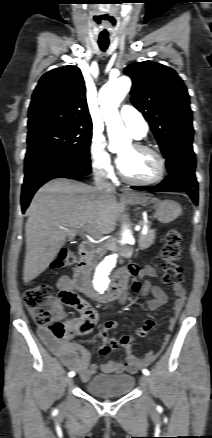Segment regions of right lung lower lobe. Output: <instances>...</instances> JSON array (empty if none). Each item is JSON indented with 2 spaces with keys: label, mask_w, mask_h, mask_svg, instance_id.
Segmentation results:
<instances>
[{
  "label": "right lung lower lobe",
  "mask_w": 212,
  "mask_h": 438,
  "mask_svg": "<svg viewBox=\"0 0 212 438\" xmlns=\"http://www.w3.org/2000/svg\"><path fill=\"white\" fill-rule=\"evenodd\" d=\"M91 173L90 159L33 155L25 158L21 206L24 212L39 187L54 178H79Z\"/></svg>",
  "instance_id": "98d812e1"
}]
</instances>
